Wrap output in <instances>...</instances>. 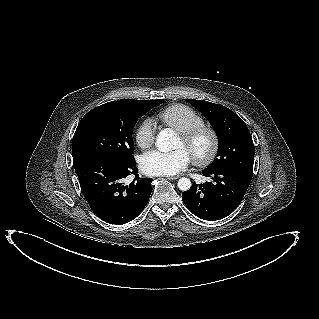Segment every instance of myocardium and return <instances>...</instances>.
I'll use <instances>...</instances> for the list:
<instances>
[{"mask_svg":"<svg viewBox=\"0 0 319 319\" xmlns=\"http://www.w3.org/2000/svg\"><path fill=\"white\" fill-rule=\"evenodd\" d=\"M179 135L186 146H191L201 136L207 137V151L202 155L191 154L192 161L196 166L205 167L215 160L219 151L220 140L218 133L214 128L202 124L187 131L180 132Z\"/></svg>","mask_w":319,"mask_h":319,"instance_id":"1","label":"myocardium"}]
</instances>
